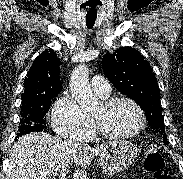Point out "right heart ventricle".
<instances>
[{"mask_svg":"<svg viewBox=\"0 0 183 179\" xmlns=\"http://www.w3.org/2000/svg\"><path fill=\"white\" fill-rule=\"evenodd\" d=\"M102 98H107L108 96H101Z\"/></svg>","mask_w":183,"mask_h":179,"instance_id":"e07e8e85","label":"right heart ventricle"}]
</instances>
